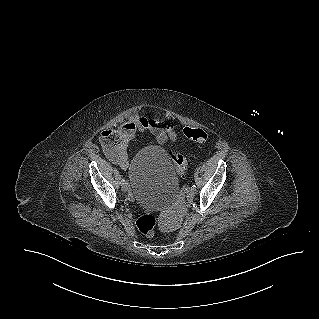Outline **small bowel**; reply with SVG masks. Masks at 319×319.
<instances>
[{"label":"small bowel","mask_w":319,"mask_h":319,"mask_svg":"<svg viewBox=\"0 0 319 319\" xmlns=\"http://www.w3.org/2000/svg\"><path fill=\"white\" fill-rule=\"evenodd\" d=\"M139 132H150L160 143L177 140L173 126H161L157 119L137 114L127 123L119 121L104 130L101 140L107 158L126 170L129 164L128 144Z\"/></svg>","instance_id":"obj_1"}]
</instances>
